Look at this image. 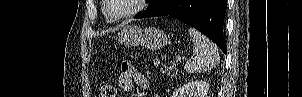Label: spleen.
<instances>
[{"label": "spleen", "mask_w": 302, "mask_h": 97, "mask_svg": "<svg viewBox=\"0 0 302 97\" xmlns=\"http://www.w3.org/2000/svg\"><path fill=\"white\" fill-rule=\"evenodd\" d=\"M193 41V56L185 64L188 73H202L216 67L220 56L218 47L194 28H189Z\"/></svg>", "instance_id": "3e777b00"}]
</instances>
